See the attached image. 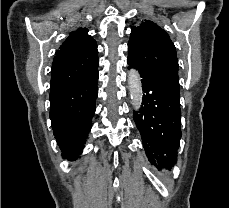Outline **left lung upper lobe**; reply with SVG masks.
Instances as JSON below:
<instances>
[{
    "instance_id": "5c2ea615",
    "label": "left lung upper lobe",
    "mask_w": 229,
    "mask_h": 208,
    "mask_svg": "<svg viewBox=\"0 0 229 208\" xmlns=\"http://www.w3.org/2000/svg\"><path fill=\"white\" fill-rule=\"evenodd\" d=\"M128 61L139 70L141 77L180 96L176 49L166 31L156 23L145 20L132 27Z\"/></svg>"
}]
</instances>
